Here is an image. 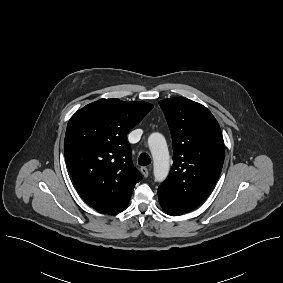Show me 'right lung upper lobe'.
Masks as SVG:
<instances>
[{
  "label": "right lung upper lobe",
  "mask_w": 283,
  "mask_h": 283,
  "mask_svg": "<svg viewBox=\"0 0 283 283\" xmlns=\"http://www.w3.org/2000/svg\"><path fill=\"white\" fill-rule=\"evenodd\" d=\"M152 108L146 102L100 99L70 118L65 160L80 195L95 210L126 209L142 179L132 164L127 134Z\"/></svg>",
  "instance_id": "1"
}]
</instances>
